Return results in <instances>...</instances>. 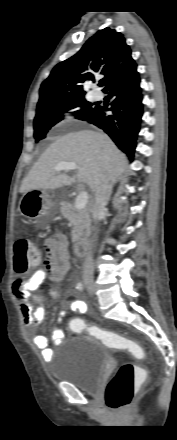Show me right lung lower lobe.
I'll use <instances>...</instances> for the list:
<instances>
[{
	"mask_svg": "<svg viewBox=\"0 0 177 440\" xmlns=\"http://www.w3.org/2000/svg\"><path fill=\"white\" fill-rule=\"evenodd\" d=\"M111 107L96 106L82 120L103 129L132 161L143 115L142 93L137 66L107 86ZM107 111H112L108 115Z\"/></svg>",
	"mask_w": 177,
	"mask_h": 440,
	"instance_id": "obj_1",
	"label": "right lung lower lobe"
}]
</instances>
